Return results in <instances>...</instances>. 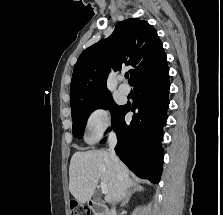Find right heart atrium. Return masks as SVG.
<instances>
[{"instance_id":"d8ad5b80","label":"right heart atrium","mask_w":223,"mask_h":215,"mask_svg":"<svg viewBox=\"0 0 223 215\" xmlns=\"http://www.w3.org/2000/svg\"><path fill=\"white\" fill-rule=\"evenodd\" d=\"M111 126V115L107 107L96 106L90 110L85 120V128L92 130L95 137Z\"/></svg>"}]
</instances>
